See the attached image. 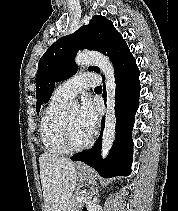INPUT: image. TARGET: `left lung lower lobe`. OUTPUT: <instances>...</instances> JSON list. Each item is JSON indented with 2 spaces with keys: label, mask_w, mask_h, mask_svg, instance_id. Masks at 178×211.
<instances>
[{
  "label": "left lung lower lobe",
  "mask_w": 178,
  "mask_h": 211,
  "mask_svg": "<svg viewBox=\"0 0 178 211\" xmlns=\"http://www.w3.org/2000/svg\"><path fill=\"white\" fill-rule=\"evenodd\" d=\"M116 79L115 114L117 118L116 139L110 155L102 160L101 141L102 132L97 144L90 150L78 153L71 160L82 161L95 168L105 178L128 176L131 173L133 142L131 132L134 125V116L139 106V70L136 60L128 51L114 67ZM106 101L104 86L103 93ZM102 120V131L104 129Z\"/></svg>",
  "instance_id": "left-lung-lower-lobe-1"
}]
</instances>
